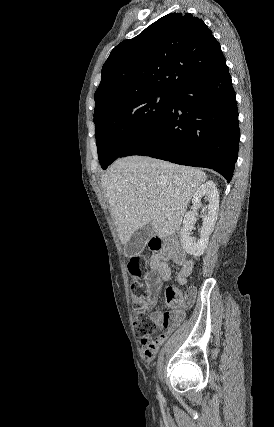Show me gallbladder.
Instances as JSON below:
<instances>
[{"instance_id":"1","label":"gallbladder","mask_w":274,"mask_h":427,"mask_svg":"<svg viewBox=\"0 0 274 427\" xmlns=\"http://www.w3.org/2000/svg\"><path fill=\"white\" fill-rule=\"evenodd\" d=\"M152 235L153 229L150 223H147L144 227H140V229H136L133 235H131L129 241L124 245V255H126V257L139 255Z\"/></svg>"}]
</instances>
